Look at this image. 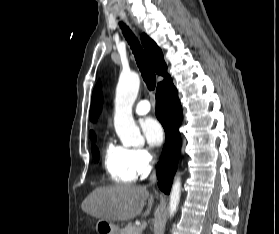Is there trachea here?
Wrapping results in <instances>:
<instances>
[{"instance_id":"trachea-1","label":"trachea","mask_w":279,"mask_h":234,"mask_svg":"<svg viewBox=\"0 0 279 234\" xmlns=\"http://www.w3.org/2000/svg\"><path fill=\"white\" fill-rule=\"evenodd\" d=\"M121 28L134 53L136 63L139 67L144 82L146 83L149 90H154L156 86V75L148 57L129 28L124 24L121 25Z\"/></svg>"}]
</instances>
